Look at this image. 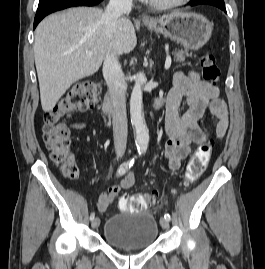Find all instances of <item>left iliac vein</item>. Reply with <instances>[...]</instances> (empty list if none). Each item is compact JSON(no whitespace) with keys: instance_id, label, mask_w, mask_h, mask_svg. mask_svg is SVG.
<instances>
[{"instance_id":"obj_1","label":"left iliac vein","mask_w":265,"mask_h":269,"mask_svg":"<svg viewBox=\"0 0 265 269\" xmlns=\"http://www.w3.org/2000/svg\"><path fill=\"white\" fill-rule=\"evenodd\" d=\"M160 225L163 229L169 228V222L165 218L160 219Z\"/></svg>"}]
</instances>
